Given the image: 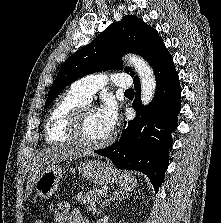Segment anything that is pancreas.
<instances>
[{"instance_id":"obj_1","label":"pancreas","mask_w":221,"mask_h":223,"mask_svg":"<svg viewBox=\"0 0 221 223\" xmlns=\"http://www.w3.org/2000/svg\"><path fill=\"white\" fill-rule=\"evenodd\" d=\"M103 191L93 188L89 192L84 195L78 194L75 196L76 200L81 201L83 204L87 205V211L95 215L96 214V206L99 201V197L102 196L101 193Z\"/></svg>"}]
</instances>
